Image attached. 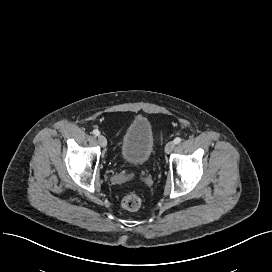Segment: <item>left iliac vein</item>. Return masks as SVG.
<instances>
[{
	"instance_id": "obj_1",
	"label": "left iliac vein",
	"mask_w": 272,
	"mask_h": 272,
	"mask_svg": "<svg viewBox=\"0 0 272 272\" xmlns=\"http://www.w3.org/2000/svg\"><path fill=\"white\" fill-rule=\"evenodd\" d=\"M174 148H175V143H174V141L168 142V143L166 144V146H165V153H166V154H170V153L173 151Z\"/></svg>"
}]
</instances>
